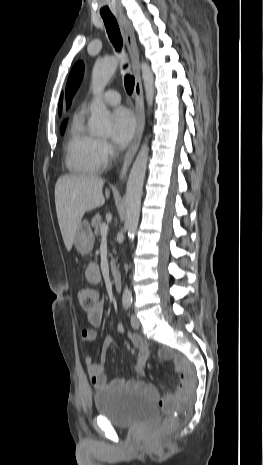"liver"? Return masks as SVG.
Listing matches in <instances>:
<instances>
[{
  "label": "liver",
  "mask_w": 263,
  "mask_h": 465,
  "mask_svg": "<svg viewBox=\"0 0 263 465\" xmlns=\"http://www.w3.org/2000/svg\"><path fill=\"white\" fill-rule=\"evenodd\" d=\"M104 180L96 175H63L55 185V205L60 231L67 251L86 212L102 206ZM109 198V189L105 190Z\"/></svg>",
  "instance_id": "liver-1"
}]
</instances>
